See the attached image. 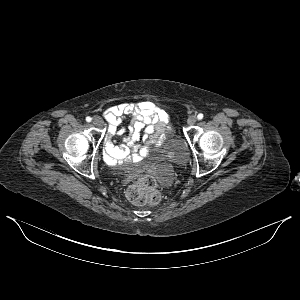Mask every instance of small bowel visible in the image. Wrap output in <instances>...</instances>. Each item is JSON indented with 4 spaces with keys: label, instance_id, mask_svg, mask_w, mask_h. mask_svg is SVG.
I'll return each mask as SVG.
<instances>
[{
    "label": "small bowel",
    "instance_id": "1",
    "mask_svg": "<svg viewBox=\"0 0 300 300\" xmlns=\"http://www.w3.org/2000/svg\"><path fill=\"white\" fill-rule=\"evenodd\" d=\"M104 117L108 122L104 156L110 165L128 158L137 161L143 158L148 149L162 139L169 124L168 113L151 101L117 104L106 109ZM126 117L131 118L127 130L120 127ZM113 137H122V144L117 145Z\"/></svg>",
    "mask_w": 300,
    "mask_h": 300
}]
</instances>
